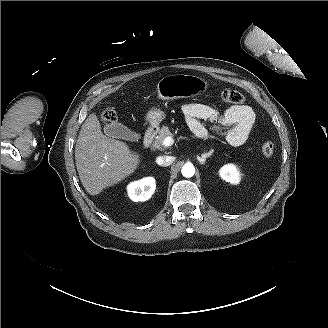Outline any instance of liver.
Instances as JSON below:
<instances>
[{
    "label": "liver",
    "mask_w": 328,
    "mask_h": 328,
    "mask_svg": "<svg viewBox=\"0 0 328 328\" xmlns=\"http://www.w3.org/2000/svg\"><path fill=\"white\" fill-rule=\"evenodd\" d=\"M144 155L122 141L102 133L100 118L91 113L82 125L75 147L80 181L91 196L116 186L133 175Z\"/></svg>",
    "instance_id": "6515ba94"
}]
</instances>
